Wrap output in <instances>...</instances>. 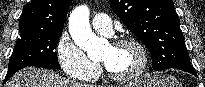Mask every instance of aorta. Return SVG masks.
<instances>
[{
  "instance_id": "obj_1",
  "label": "aorta",
  "mask_w": 205,
  "mask_h": 87,
  "mask_svg": "<svg viewBox=\"0 0 205 87\" xmlns=\"http://www.w3.org/2000/svg\"><path fill=\"white\" fill-rule=\"evenodd\" d=\"M89 15V8L86 5L76 7L70 14L68 27L76 45L92 54L102 48L104 41L93 33Z\"/></svg>"
}]
</instances>
